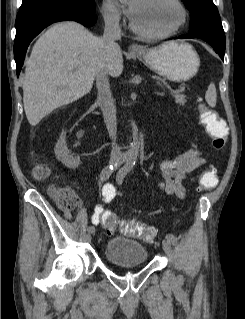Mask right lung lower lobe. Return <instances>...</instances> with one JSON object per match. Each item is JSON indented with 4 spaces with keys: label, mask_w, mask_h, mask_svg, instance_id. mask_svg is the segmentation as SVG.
Masks as SVG:
<instances>
[{
    "label": "right lung lower lobe",
    "mask_w": 245,
    "mask_h": 319,
    "mask_svg": "<svg viewBox=\"0 0 245 319\" xmlns=\"http://www.w3.org/2000/svg\"><path fill=\"white\" fill-rule=\"evenodd\" d=\"M95 5L91 8L78 9L64 5H54L26 12H18L16 17V37L14 58L16 73L19 76L28 45L45 27L53 22L75 20L84 26H92L96 22Z\"/></svg>",
    "instance_id": "right-lung-lower-lobe-1"
}]
</instances>
